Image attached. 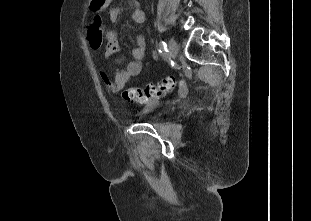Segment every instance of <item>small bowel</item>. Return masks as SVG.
Instances as JSON below:
<instances>
[{"instance_id":"small-bowel-1","label":"small bowel","mask_w":311,"mask_h":221,"mask_svg":"<svg viewBox=\"0 0 311 221\" xmlns=\"http://www.w3.org/2000/svg\"><path fill=\"white\" fill-rule=\"evenodd\" d=\"M120 13V7H111L109 9L110 20L113 22L117 21ZM132 20L138 24L144 23L146 20L145 13L140 8H136L132 13ZM135 43L136 46L132 50L133 60L128 62L124 69L117 70L113 79H111L105 72H101L100 74L102 81L114 93H118L132 77L138 75L143 69V60L146 57L147 51L144 37L137 35ZM118 48L119 38L117 32L114 30L108 31L106 33L105 58L110 59L118 51Z\"/></svg>"}]
</instances>
